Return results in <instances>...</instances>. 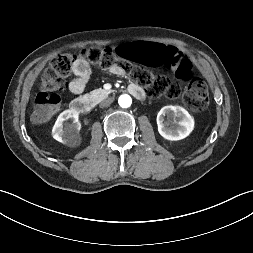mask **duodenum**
<instances>
[{"label":"duodenum","instance_id":"1","mask_svg":"<svg viewBox=\"0 0 253 253\" xmlns=\"http://www.w3.org/2000/svg\"><path fill=\"white\" fill-rule=\"evenodd\" d=\"M127 89L134 97L138 99H142L144 97V92L138 85L130 84ZM98 101V96H83L74 99L71 102L70 107L72 110L80 114H89L95 108Z\"/></svg>","mask_w":253,"mask_h":253}]
</instances>
